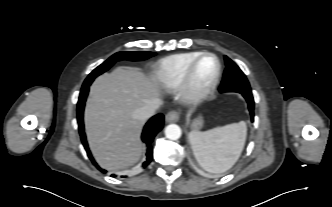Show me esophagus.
I'll return each instance as SVG.
<instances>
[{
	"instance_id": "34e87169",
	"label": "esophagus",
	"mask_w": 332,
	"mask_h": 207,
	"mask_svg": "<svg viewBox=\"0 0 332 207\" xmlns=\"http://www.w3.org/2000/svg\"><path fill=\"white\" fill-rule=\"evenodd\" d=\"M180 118V115L177 111H170L166 114V121L171 123V122H177Z\"/></svg>"
}]
</instances>
